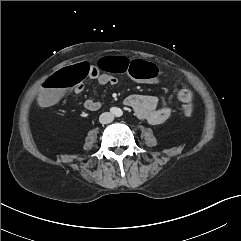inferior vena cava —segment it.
I'll use <instances>...</instances> for the list:
<instances>
[{"mask_svg": "<svg viewBox=\"0 0 241 241\" xmlns=\"http://www.w3.org/2000/svg\"><path fill=\"white\" fill-rule=\"evenodd\" d=\"M114 120V115L110 112H104L100 115L99 121L101 124H108Z\"/></svg>", "mask_w": 241, "mask_h": 241, "instance_id": "1", "label": "inferior vena cava"}]
</instances>
